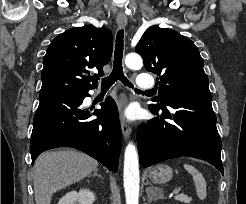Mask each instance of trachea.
<instances>
[{"instance_id": "obj_1", "label": "trachea", "mask_w": 246, "mask_h": 204, "mask_svg": "<svg viewBox=\"0 0 246 204\" xmlns=\"http://www.w3.org/2000/svg\"><path fill=\"white\" fill-rule=\"evenodd\" d=\"M124 32L119 30L117 32L115 52H114V65L111 74L108 77L102 79L101 87L102 89L108 90L117 80H120L125 86L133 88L132 83L125 77L122 67L123 58V46H124ZM135 92L142 93L140 90L135 89ZM150 92V90L145 91V93Z\"/></svg>"}]
</instances>
